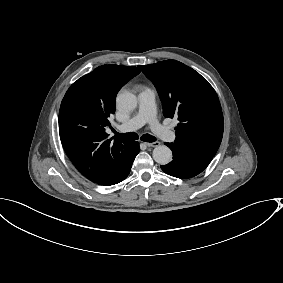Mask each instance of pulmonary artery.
<instances>
[{
    "instance_id": "obj_1",
    "label": "pulmonary artery",
    "mask_w": 283,
    "mask_h": 283,
    "mask_svg": "<svg viewBox=\"0 0 283 283\" xmlns=\"http://www.w3.org/2000/svg\"><path fill=\"white\" fill-rule=\"evenodd\" d=\"M156 104L154 92L149 88H143L138 93V109L129 120L118 124L117 128L120 132L134 131L145 123L147 127L160 138L166 141L174 142L177 134L168 126L161 125L156 119Z\"/></svg>"
}]
</instances>
